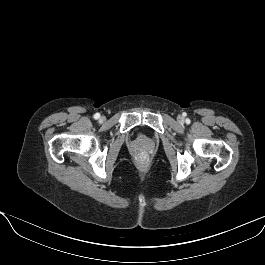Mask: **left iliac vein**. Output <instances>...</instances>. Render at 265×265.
Wrapping results in <instances>:
<instances>
[{
    "mask_svg": "<svg viewBox=\"0 0 265 265\" xmlns=\"http://www.w3.org/2000/svg\"><path fill=\"white\" fill-rule=\"evenodd\" d=\"M178 120H179L180 122H182V121H183V117L179 116V117H178Z\"/></svg>",
    "mask_w": 265,
    "mask_h": 265,
    "instance_id": "left-iliac-vein-1",
    "label": "left iliac vein"
}]
</instances>
